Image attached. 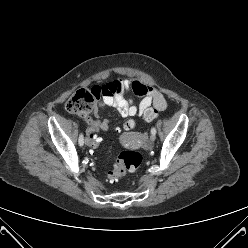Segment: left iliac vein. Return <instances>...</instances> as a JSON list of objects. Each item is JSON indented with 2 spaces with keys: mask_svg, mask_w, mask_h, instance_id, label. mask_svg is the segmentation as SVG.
Instances as JSON below:
<instances>
[{
  "mask_svg": "<svg viewBox=\"0 0 248 248\" xmlns=\"http://www.w3.org/2000/svg\"><path fill=\"white\" fill-rule=\"evenodd\" d=\"M150 140H151V142H154V140H155V135L154 134H151Z\"/></svg>",
  "mask_w": 248,
  "mask_h": 248,
  "instance_id": "obj_1",
  "label": "left iliac vein"
}]
</instances>
